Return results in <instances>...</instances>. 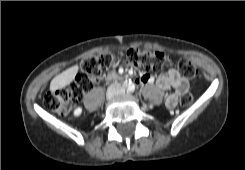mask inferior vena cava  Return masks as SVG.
Masks as SVG:
<instances>
[{"label": "inferior vena cava", "instance_id": "inferior-vena-cava-1", "mask_svg": "<svg viewBox=\"0 0 245 170\" xmlns=\"http://www.w3.org/2000/svg\"><path fill=\"white\" fill-rule=\"evenodd\" d=\"M111 88H117V90L121 89L118 85H113Z\"/></svg>", "mask_w": 245, "mask_h": 170}]
</instances>
